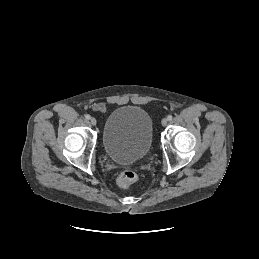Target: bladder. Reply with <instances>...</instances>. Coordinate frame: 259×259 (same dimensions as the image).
Here are the masks:
<instances>
[{
  "label": "bladder",
  "instance_id": "obj_1",
  "mask_svg": "<svg viewBox=\"0 0 259 259\" xmlns=\"http://www.w3.org/2000/svg\"><path fill=\"white\" fill-rule=\"evenodd\" d=\"M102 146L114 162L132 164L147 157L153 143V125L149 114L137 106H121L107 117Z\"/></svg>",
  "mask_w": 259,
  "mask_h": 259
}]
</instances>
